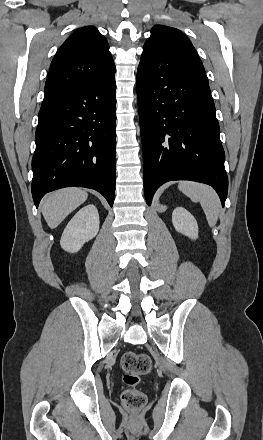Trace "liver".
<instances>
[{
	"label": "liver",
	"mask_w": 263,
	"mask_h": 440,
	"mask_svg": "<svg viewBox=\"0 0 263 440\" xmlns=\"http://www.w3.org/2000/svg\"><path fill=\"white\" fill-rule=\"evenodd\" d=\"M88 194L79 188H66L50 194L42 204V214L51 229L86 201Z\"/></svg>",
	"instance_id": "obj_1"
}]
</instances>
